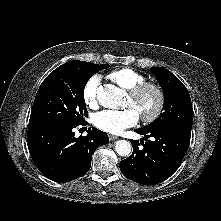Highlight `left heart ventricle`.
<instances>
[{
	"mask_svg": "<svg viewBox=\"0 0 221 221\" xmlns=\"http://www.w3.org/2000/svg\"><path fill=\"white\" fill-rule=\"evenodd\" d=\"M156 103V94L153 91H147L135 101L128 97L126 106L134 108L140 116L150 114L154 110Z\"/></svg>",
	"mask_w": 221,
	"mask_h": 221,
	"instance_id": "left-heart-ventricle-1",
	"label": "left heart ventricle"
}]
</instances>
